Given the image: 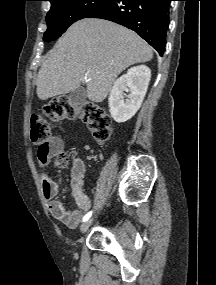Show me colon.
I'll list each match as a JSON object with an SVG mask.
<instances>
[{
  "label": "colon",
  "mask_w": 216,
  "mask_h": 285,
  "mask_svg": "<svg viewBox=\"0 0 216 285\" xmlns=\"http://www.w3.org/2000/svg\"><path fill=\"white\" fill-rule=\"evenodd\" d=\"M44 112L54 122L80 118L98 143H106L112 135L109 115L93 102L87 101L81 105H75L69 98L59 97L46 104ZM30 138L40 149H46L49 144L51 138L50 127L45 118L39 114H33L31 117ZM67 163V156L61 154L58 158V164L66 166Z\"/></svg>",
  "instance_id": "colon-1"
}]
</instances>
